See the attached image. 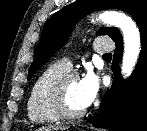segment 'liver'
I'll return each mask as SVG.
<instances>
[{
    "label": "liver",
    "instance_id": "obj_1",
    "mask_svg": "<svg viewBox=\"0 0 147 131\" xmlns=\"http://www.w3.org/2000/svg\"><path fill=\"white\" fill-rule=\"evenodd\" d=\"M66 127H60V126H48V127H42L39 129V131H58V130H65Z\"/></svg>",
    "mask_w": 147,
    "mask_h": 131
}]
</instances>
